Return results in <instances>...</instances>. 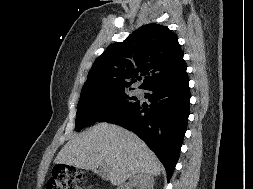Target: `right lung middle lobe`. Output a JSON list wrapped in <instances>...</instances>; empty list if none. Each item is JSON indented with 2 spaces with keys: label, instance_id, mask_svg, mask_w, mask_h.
Returning <instances> with one entry per match:
<instances>
[{
  "label": "right lung middle lobe",
  "instance_id": "dd1d6c3e",
  "mask_svg": "<svg viewBox=\"0 0 253 189\" xmlns=\"http://www.w3.org/2000/svg\"><path fill=\"white\" fill-rule=\"evenodd\" d=\"M128 87L107 86L81 92L77 106L75 130L110 118L132 109L137 103L132 102L125 91Z\"/></svg>",
  "mask_w": 253,
  "mask_h": 189
}]
</instances>
